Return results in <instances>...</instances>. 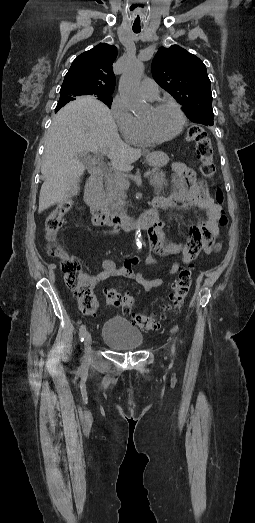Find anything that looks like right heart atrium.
I'll return each instance as SVG.
<instances>
[{
  "label": "right heart atrium",
  "instance_id": "right-heart-atrium-1",
  "mask_svg": "<svg viewBox=\"0 0 255 523\" xmlns=\"http://www.w3.org/2000/svg\"><path fill=\"white\" fill-rule=\"evenodd\" d=\"M109 110L116 128L125 137L134 124V116L120 95L113 98Z\"/></svg>",
  "mask_w": 255,
  "mask_h": 523
}]
</instances>
